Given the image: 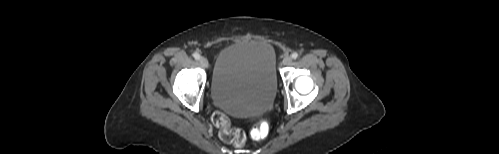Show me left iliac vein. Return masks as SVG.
<instances>
[{
  "instance_id": "obj_1",
  "label": "left iliac vein",
  "mask_w": 499,
  "mask_h": 154,
  "mask_svg": "<svg viewBox=\"0 0 499 154\" xmlns=\"http://www.w3.org/2000/svg\"><path fill=\"white\" fill-rule=\"evenodd\" d=\"M291 62H292V57H290V56H286V57L283 59L282 64H283V65H290V64H291Z\"/></svg>"
}]
</instances>
